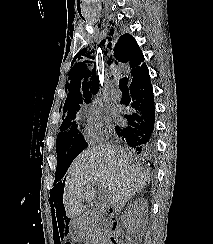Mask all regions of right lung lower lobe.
<instances>
[{
    "label": "right lung lower lobe",
    "instance_id": "98d812e1",
    "mask_svg": "<svg viewBox=\"0 0 213 244\" xmlns=\"http://www.w3.org/2000/svg\"><path fill=\"white\" fill-rule=\"evenodd\" d=\"M133 112L124 115L126 122L115 126L117 136L130 149L144 160L151 159L155 153L152 136L155 121L153 89L148 68L130 84Z\"/></svg>",
    "mask_w": 213,
    "mask_h": 244
}]
</instances>
